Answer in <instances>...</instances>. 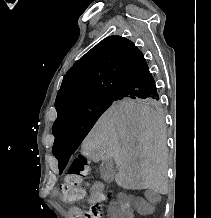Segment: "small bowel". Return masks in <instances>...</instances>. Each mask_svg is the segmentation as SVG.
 Instances as JSON below:
<instances>
[{"mask_svg":"<svg viewBox=\"0 0 211 218\" xmlns=\"http://www.w3.org/2000/svg\"><path fill=\"white\" fill-rule=\"evenodd\" d=\"M89 203L100 204L105 201V195L103 193L104 185L100 181H92L89 185ZM52 195L57 197L59 192L57 189L52 190ZM73 218H82L83 212L79 207H73L70 210ZM111 214L115 218H135V210L128 205L114 206L111 209Z\"/></svg>","mask_w":211,"mask_h":218,"instance_id":"obj_1","label":"small bowel"}]
</instances>
